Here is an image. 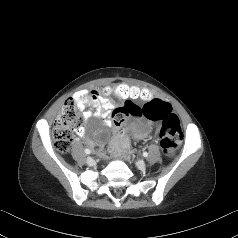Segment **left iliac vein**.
<instances>
[{
    "label": "left iliac vein",
    "instance_id": "1",
    "mask_svg": "<svg viewBox=\"0 0 238 238\" xmlns=\"http://www.w3.org/2000/svg\"><path fill=\"white\" fill-rule=\"evenodd\" d=\"M137 167L139 168V169H141V170H144L145 168H146V164H145V162L144 161H138L137 163Z\"/></svg>",
    "mask_w": 238,
    "mask_h": 238
}]
</instances>
